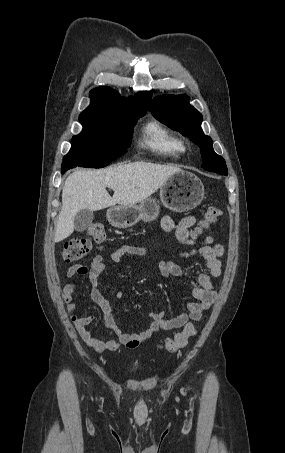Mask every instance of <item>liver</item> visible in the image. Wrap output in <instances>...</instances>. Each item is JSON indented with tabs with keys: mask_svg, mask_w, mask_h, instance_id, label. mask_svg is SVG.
<instances>
[{
	"mask_svg": "<svg viewBox=\"0 0 285 453\" xmlns=\"http://www.w3.org/2000/svg\"><path fill=\"white\" fill-rule=\"evenodd\" d=\"M177 166L133 162L102 170H76L70 174L62 190V208L55 228V242L69 237L76 214L82 209L101 210L119 204L132 206L157 191ZM114 191L111 197L106 188Z\"/></svg>",
	"mask_w": 285,
	"mask_h": 453,
	"instance_id": "1",
	"label": "liver"
}]
</instances>
